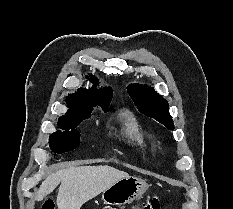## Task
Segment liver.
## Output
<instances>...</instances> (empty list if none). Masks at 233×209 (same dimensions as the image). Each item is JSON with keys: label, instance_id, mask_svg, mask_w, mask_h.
<instances>
[{"label": "liver", "instance_id": "6515ba94", "mask_svg": "<svg viewBox=\"0 0 233 209\" xmlns=\"http://www.w3.org/2000/svg\"><path fill=\"white\" fill-rule=\"evenodd\" d=\"M128 173L110 166H71L58 170L42 182L36 200H43L60 184L57 195L58 209H80Z\"/></svg>", "mask_w": 233, "mask_h": 209}]
</instances>
